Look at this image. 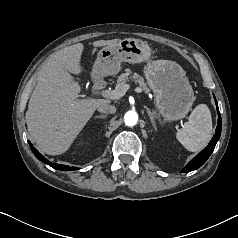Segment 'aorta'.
I'll return each mask as SVG.
<instances>
[{"label":"aorta","instance_id":"1","mask_svg":"<svg viewBox=\"0 0 238 238\" xmlns=\"http://www.w3.org/2000/svg\"><path fill=\"white\" fill-rule=\"evenodd\" d=\"M124 122L127 126H134L138 122V114L135 111H128L124 115Z\"/></svg>","mask_w":238,"mask_h":238}]
</instances>
